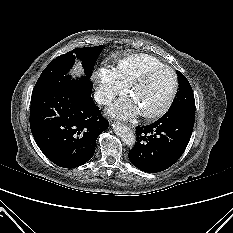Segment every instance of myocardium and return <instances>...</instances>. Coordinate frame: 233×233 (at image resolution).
<instances>
[{"label":"myocardium","instance_id":"1","mask_svg":"<svg viewBox=\"0 0 233 233\" xmlns=\"http://www.w3.org/2000/svg\"><path fill=\"white\" fill-rule=\"evenodd\" d=\"M159 70H165L171 73L172 78H173L172 87H171L168 97L166 98V100L160 107L150 112H141V115L146 119H154V118L160 117L164 113H166V111L170 108V106L172 105L175 99V96L178 90L177 75L175 71L169 66H166V65L152 66L144 70L141 74H139L129 85V92L132 93V91L137 86L142 84L152 73L159 71Z\"/></svg>","mask_w":233,"mask_h":233}]
</instances>
